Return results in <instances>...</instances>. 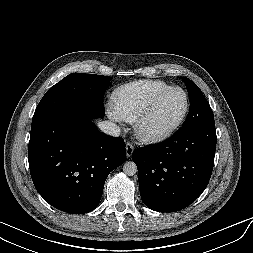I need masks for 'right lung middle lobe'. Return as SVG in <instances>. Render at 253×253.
I'll list each match as a JSON object with an SVG mask.
<instances>
[{"mask_svg": "<svg viewBox=\"0 0 253 253\" xmlns=\"http://www.w3.org/2000/svg\"><path fill=\"white\" fill-rule=\"evenodd\" d=\"M109 80L103 75L69 74L45 93L35 110L31 129L66 116L103 117V93Z\"/></svg>", "mask_w": 253, "mask_h": 253, "instance_id": "right-lung-middle-lobe-1", "label": "right lung middle lobe"}]
</instances>
